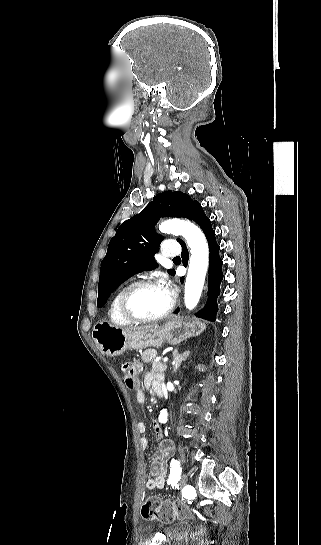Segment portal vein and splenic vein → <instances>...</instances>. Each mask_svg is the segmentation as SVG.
<instances>
[{
  "instance_id": "portal-vein-and-splenic-vein-1",
  "label": "portal vein and splenic vein",
  "mask_w": 321,
  "mask_h": 545,
  "mask_svg": "<svg viewBox=\"0 0 321 545\" xmlns=\"http://www.w3.org/2000/svg\"><path fill=\"white\" fill-rule=\"evenodd\" d=\"M169 357H163V362H168Z\"/></svg>"
}]
</instances>
